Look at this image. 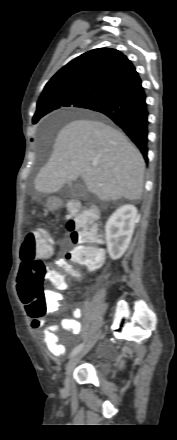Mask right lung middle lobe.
I'll return each instance as SVG.
<instances>
[{
  "mask_svg": "<svg viewBox=\"0 0 177 440\" xmlns=\"http://www.w3.org/2000/svg\"><path fill=\"white\" fill-rule=\"evenodd\" d=\"M101 97H103L101 94L88 92L69 91L58 93L41 103H37V111L33 117V123L35 124L41 117L53 110L64 107L86 108Z\"/></svg>",
  "mask_w": 177,
  "mask_h": 440,
  "instance_id": "obj_1",
  "label": "right lung middle lobe"
}]
</instances>
